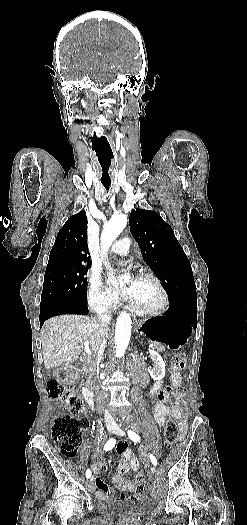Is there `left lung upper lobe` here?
I'll list each match as a JSON object with an SVG mask.
<instances>
[{"instance_id": "1", "label": "left lung upper lobe", "mask_w": 247, "mask_h": 525, "mask_svg": "<svg viewBox=\"0 0 247 525\" xmlns=\"http://www.w3.org/2000/svg\"><path fill=\"white\" fill-rule=\"evenodd\" d=\"M130 231L143 259L154 271L169 294V299L197 297L190 262L173 229L154 211L132 210Z\"/></svg>"}]
</instances>
